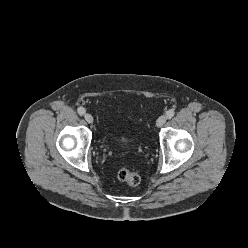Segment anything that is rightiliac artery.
<instances>
[{
	"instance_id": "obj_1",
	"label": "right iliac artery",
	"mask_w": 248,
	"mask_h": 248,
	"mask_svg": "<svg viewBox=\"0 0 248 248\" xmlns=\"http://www.w3.org/2000/svg\"><path fill=\"white\" fill-rule=\"evenodd\" d=\"M77 112H78L79 115L82 116V115L85 114L86 111H85V109H84L83 107H79V108L77 109Z\"/></svg>"
}]
</instances>
